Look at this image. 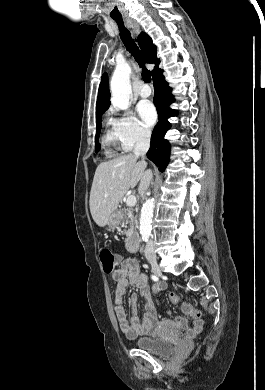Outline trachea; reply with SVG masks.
<instances>
[{
	"label": "trachea",
	"instance_id": "trachea-1",
	"mask_svg": "<svg viewBox=\"0 0 265 390\" xmlns=\"http://www.w3.org/2000/svg\"><path fill=\"white\" fill-rule=\"evenodd\" d=\"M113 20L117 23L120 31V37L123 41L127 50L133 55L139 66L142 68V79L150 83L151 82V72L146 69L145 61L141 56L140 50L136 45L135 41L132 39L129 30L126 29L123 23L122 18H113Z\"/></svg>",
	"mask_w": 265,
	"mask_h": 390
}]
</instances>
